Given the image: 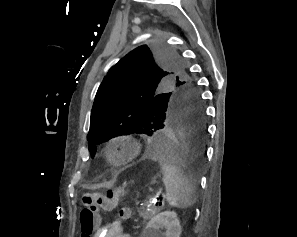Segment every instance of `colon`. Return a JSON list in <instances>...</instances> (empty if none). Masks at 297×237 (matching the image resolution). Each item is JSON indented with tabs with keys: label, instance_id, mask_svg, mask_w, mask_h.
<instances>
[{
	"label": "colon",
	"instance_id": "colon-1",
	"mask_svg": "<svg viewBox=\"0 0 297 237\" xmlns=\"http://www.w3.org/2000/svg\"><path fill=\"white\" fill-rule=\"evenodd\" d=\"M118 190H109L106 194L85 193L82 198V210L79 216L81 237H92L99 223L100 211H111L117 204ZM128 216L125 209L120 211V219Z\"/></svg>",
	"mask_w": 297,
	"mask_h": 237
}]
</instances>
